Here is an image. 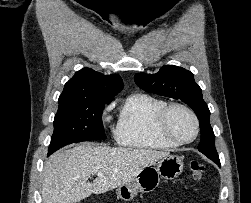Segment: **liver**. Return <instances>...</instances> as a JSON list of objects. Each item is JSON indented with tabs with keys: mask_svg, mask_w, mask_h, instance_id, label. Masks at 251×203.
I'll return each mask as SVG.
<instances>
[{
	"mask_svg": "<svg viewBox=\"0 0 251 203\" xmlns=\"http://www.w3.org/2000/svg\"><path fill=\"white\" fill-rule=\"evenodd\" d=\"M169 152L83 143L54 153L43 169V203H77L131 182ZM102 173L103 177L97 174ZM91 175L98 177L89 182Z\"/></svg>",
	"mask_w": 251,
	"mask_h": 203,
	"instance_id": "6515ba94",
	"label": "liver"
}]
</instances>
